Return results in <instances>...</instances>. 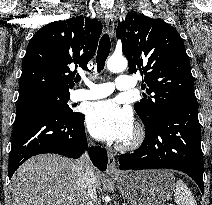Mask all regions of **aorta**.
Segmentation results:
<instances>
[{"mask_svg":"<svg viewBox=\"0 0 212 205\" xmlns=\"http://www.w3.org/2000/svg\"><path fill=\"white\" fill-rule=\"evenodd\" d=\"M127 66V59L123 56L112 55L107 60V68L113 73L123 72Z\"/></svg>","mask_w":212,"mask_h":205,"instance_id":"1","label":"aorta"}]
</instances>
